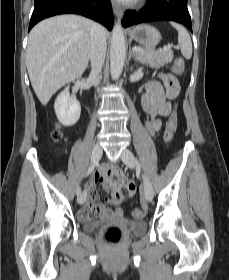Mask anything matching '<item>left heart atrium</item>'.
<instances>
[{"label": "left heart atrium", "mask_w": 229, "mask_h": 280, "mask_svg": "<svg viewBox=\"0 0 229 280\" xmlns=\"http://www.w3.org/2000/svg\"><path fill=\"white\" fill-rule=\"evenodd\" d=\"M120 1H123V2H132L133 0H120Z\"/></svg>", "instance_id": "1"}]
</instances>
